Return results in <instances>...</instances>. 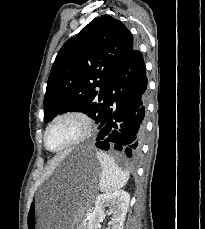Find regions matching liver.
<instances>
[{"instance_id": "liver-1", "label": "liver", "mask_w": 205, "mask_h": 229, "mask_svg": "<svg viewBox=\"0 0 205 229\" xmlns=\"http://www.w3.org/2000/svg\"><path fill=\"white\" fill-rule=\"evenodd\" d=\"M57 161L52 164V168H54L57 165Z\"/></svg>"}]
</instances>
